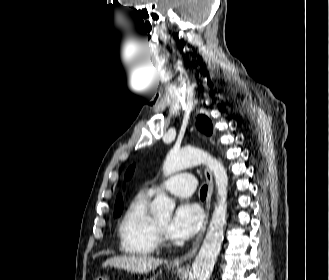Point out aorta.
Masks as SVG:
<instances>
[{
	"label": "aorta",
	"instance_id": "obj_1",
	"mask_svg": "<svg viewBox=\"0 0 329 280\" xmlns=\"http://www.w3.org/2000/svg\"><path fill=\"white\" fill-rule=\"evenodd\" d=\"M200 164H206L214 175L217 188V205L214 208L203 244L192 265L190 280H209L220 253L227 215L228 176L220 161L196 148L170 150L163 165V174L167 177L180 170ZM151 208L158 217H170L175 203L164 193H160L154 199Z\"/></svg>",
	"mask_w": 329,
	"mask_h": 280
}]
</instances>
